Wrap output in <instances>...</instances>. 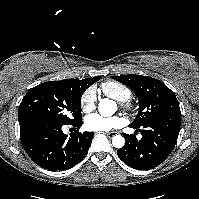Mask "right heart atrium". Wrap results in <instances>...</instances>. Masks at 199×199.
<instances>
[{
    "instance_id": "right-heart-atrium-1",
    "label": "right heart atrium",
    "mask_w": 199,
    "mask_h": 199,
    "mask_svg": "<svg viewBox=\"0 0 199 199\" xmlns=\"http://www.w3.org/2000/svg\"><path fill=\"white\" fill-rule=\"evenodd\" d=\"M96 93L92 88L87 89L81 97V108L84 112H90L95 108Z\"/></svg>"
}]
</instances>
